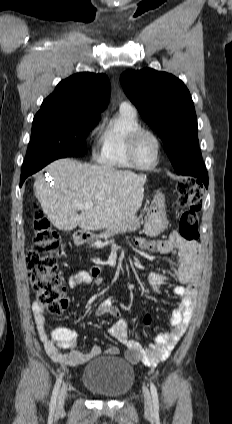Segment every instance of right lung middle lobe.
<instances>
[{
  "label": "right lung middle lobe",
  "mask_w": 232,
  "mask_h": 424,
  "mask_svg": "<svg viewBox=\"0 0 232 424\" xmlns=\"http://www.w3.org/2000/svg\"><path fill=\"white\" fill-rule=\"evenodd\" d=\"M99 119L74 109L40 110L33 120L22 168L45 158L83 156L86 135Z\"/></svg>",
  "instance_id": "right-lung-middle-lobe-1"
}]
</instances>
